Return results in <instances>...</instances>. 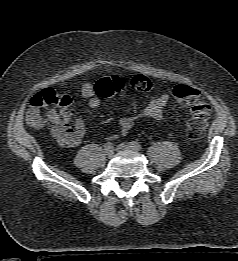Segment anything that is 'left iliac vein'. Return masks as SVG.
Returning <instances> with one entry per match:
<instances>
[{"label":"left iliac vein","instance_id":"obj_1","mask_svg":"<svg viewBox=\"0 0 238 261\" xmlns=\"http://www.w3.org/2000/svg\"><path fill=\"white\" fill-rule=\"evenodd\" d=\"M117 150L118 151H124V150H135V149L131 144L121 143L117 146Z\"/></svg>","mask_w":238,"mask_h":261}]
</instances>
